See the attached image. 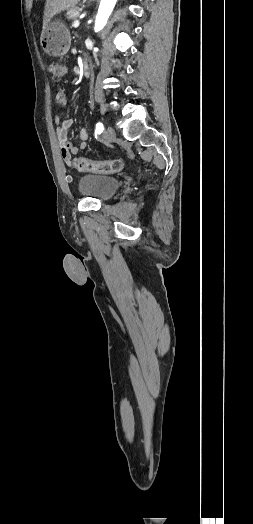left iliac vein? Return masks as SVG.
Returning <instances> with one entry per match:
<instances>
[{"label":"left iliac vein","instance_id":"left-iliac-vein-1","mask_svg":"<svg viewBox=\"0 0 253 524\" xmlns=\"http://www.w3.org/2000/svg\"><path fill=\"white\" fill-rule=\"evenodd\" d=\"M103 138L107 143L113 142L116 138L115 130L111 126H108L103 132Z\"/></svg>","mask_w":253,"mask_h":524}]
</instances>
